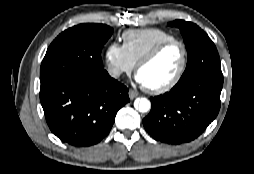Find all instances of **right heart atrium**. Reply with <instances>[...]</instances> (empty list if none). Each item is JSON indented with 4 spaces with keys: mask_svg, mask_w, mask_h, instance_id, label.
Here are the masks:
<instances>
[{
    "mask_svg": "<svg viewBox=\"0 0 254 174\" xmlns=\"http://www.w3.org/2000/svg\"><path fill=\"white\" fill-rule=\"evenodd\" d=\"M104 59L107 72L113 78H120L124 74H129L135 67V63L128 56L123 45L117 42H111L107 45Z\"/></svg>",
    "mask_w": 254,
    "mask_h": 174,
    "instance_id": "1",
    "label": "right heart atrium"
}]
</instances>
